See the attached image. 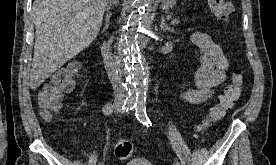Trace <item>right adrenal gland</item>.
Segmentation results:
<instances>
[{"mask_svg": "<svg viewBox=\"0 0 276 165\" xmlns=\"http://www.w3.org/2000/svg\"><path fill=\"white\" fill-rule=\"evenodd\" d=\"M110 18H111V14L109 13V14H107V16H106V23H105V25H104L103 32H104L105 30L108 29V27H109V25H110Z\"/></svg>", "mask_w": 276, "mask_h": 165, "instance_id": "2a0ac1e0", "label": "right adrenal gland"}]
</instances>
